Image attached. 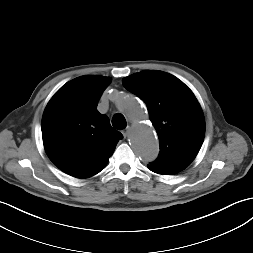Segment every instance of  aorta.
I'll list each match as a JSON object with an SVG mask.
<instances>
[{
  "label": "aorta",
  "instance_id": "obj_1",
  "mask_svg": "<svg viewBox=\"0 0 253 253\" xmlns=\"http://www.w3.org/2000/svg\"><path fill=\"white\" fill-rule=\"evenodd\" d=\"M115 104L117 108L133 120L130 141L134 152L145 162L156 159L159 144L151 125L145 122V112L134 97L120 94Z\"/></svg>",
  "mask_w": 253,
  "mask_h": 253
}]
</instances>
